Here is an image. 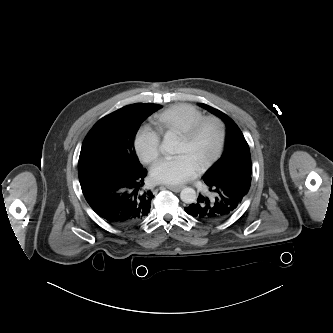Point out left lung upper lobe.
Listing matches in <instances>:
<instances>
[{
    "mask_svg": "<svg viewBox=\"0 0 333 333\" xmlns=\"http://www.w3.org/2000/svg\"><path fill=\"white\" fill-rule=\"evenodd\" d=\"M204 109L220 117L228 129V142L226 148L218 161H216L204 174L213 180L237 176L251 180L252 163L249 146L238 126L223 112L206 104H199Z\"/></svg>",
    "mask_w": 333,
    "mask_h": 333,
    "instance_id": "left-lung-upper-lobe-1",
    "label": "left lung upper lobe"
}]
</instances>
